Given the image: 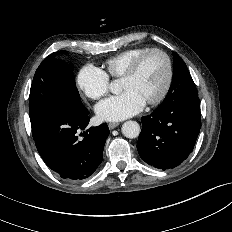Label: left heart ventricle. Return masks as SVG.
Listing matches in <instances>:
<instances>
[{
  "label": "left heart ventricle",
  "instance_id": "b2bd125f",
  "mask_svg": "<svg viewBox=\"0 0 232 232\" xmlns=\"http://www.w3.org/2000/svg\"><path fill=\"white\" fill-rule=\"evenodd\" d=\"M166 80V62L162 55L151 54L141 64L137 73L129 79L120 81L122 91L130 90L145 102L155 98L162 90Z\"/></svg>",
  "mask_w": 232,
  "mask_h": 232
}]
</instances>
